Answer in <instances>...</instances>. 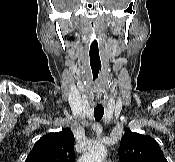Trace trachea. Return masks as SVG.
<instances>
[{"label": "trachea", "mask_w": 175, "mask_h": 162, "mask_svg": "<svg viewBox=\"0 0 175 162\" xmlns=\"http://www.w3.org/2000/svg\"><path fill=\"white\" fill-rule=\"evenodd\" d=\"M104 115V108L96 107L94 108V117L96 121H100Z\"/></svg>", "instance_id": "obj_1"}]
</instances>
